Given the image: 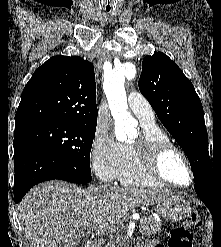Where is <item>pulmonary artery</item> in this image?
<instances>
[{
  "instance_id": "obj_1",
  "label": "pulmonary artery",
  "mask_w": 221,
  "mask_h": 247,
  "mask_svg": "<svg viewBox=\"0 0 221 247\" xmlns=\"http://www.w3.org/2000/svg\"><path fill=\"white\" fill-rule=\"evenodd\" d=\"M128 106L143 126L155 125V116L149 102L138 92L128 95Z\"/></svg>"
}]
</instances>
